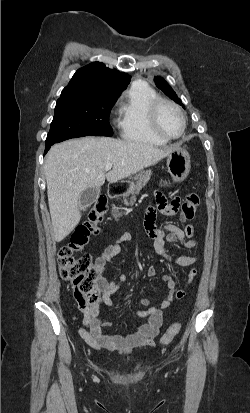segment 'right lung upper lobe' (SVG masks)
<instances>
[{"mask_svg": "<svg viewBox=\"0 0 250 413\" xmlns=\"http://www.w3.org/2000/svg\"><path fill=\"white\" fill-rule=\"evenodd\" d=\"M129 81L128 74L109 69L101 62H94L77 70L65 88H80L119 95Z\"/></svg>", "mask_w": 250, "mask_h": 413, "instance_id": "right-lung-upper-lobe-1", "label": "right lung upper lobe"}]
</instances>
